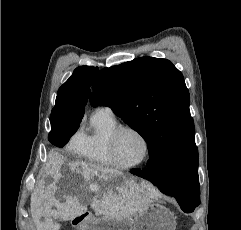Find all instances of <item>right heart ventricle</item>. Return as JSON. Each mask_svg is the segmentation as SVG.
<instances>
[{"instance_id": "e07e8e85", "label": "right heart ventricle", "mask_w": 241, "mask_h": 230, "mask_svg": "<svg viewBox=\"0 0 241 230\" xmlns=\"http://www.w3.org/2000/svg\"><path fill=\"white\" fill-rule=\"evenodd\" d=\"M118 126L114 114L108 110H97L91 117L90 131L84 135L77 153L85 160L102 165H114L108 153V138Z\"/></svg>"}]
</instances>
